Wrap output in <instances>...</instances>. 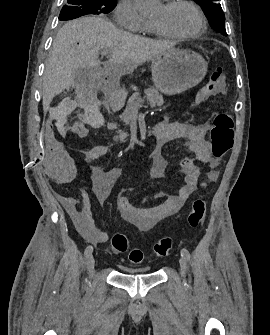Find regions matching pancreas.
<instances>
[{
	"instance_id": "1",
	"label": "pancreas",
	"mask_w": 270,
	"mask_h": 335,
	"mask_svg": "<svg viewBox=\"0 0 270 335\" xmlns=\"http://www.w3.org/2000/svg\"><path fill=\"white\" fill-rule=\"evenodd\" d=\"M144 94H146L144 98H147L152 108H155V106H163L164 104L163 96H161L158 90H156V88H153V86H151V88H148V90H144ZM133 100L134 102L132 106H127L124 114H122L121 116V120H123L125 126H128V124H130L132 108H134L136 104H140V102H143V98H141L139 94H134ZM114 128H116V124H114ZM117 134H119V136H114L113 138L114 142H118V140H120V142H123V140H125L127 136L126 132H122V130H118Z\"/></svg>"
}]
</instances>
